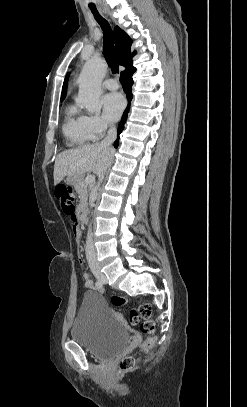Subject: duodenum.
Instances as JSON below:
<instances>
[{"mask_svg": "<svg viewBox=\"0 0 247 407\" xmlns=\"http://www.w3.org/2000/svg\"><path fill=\"white\" fill-rule=\"evenodd\" d=\"M85 219H86V209L85 207L81 206L77 212V222L82 224L85 221Z\"/></svg>", "mask_w": 247, "mask_h": 407, "instance_id": "obj_1", "label": "duodenum"}]
</instances>
